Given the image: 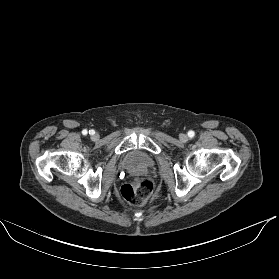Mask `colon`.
<instances>
[{
    "instance_id": "5ec220e1",
    "label": "colon",
    "mask_w": 279,
    "mask_h": 279,
    "mask_svg": "<svg viewBox=\"0 0 279 279\" xmlns=\"http://www.w3.org/2000/svg\"><path fill=\"white\" fill-rule=\"evenodd\" d=\"M154 189V183L148 178L135 179L124 184L119 191L122 199L133 206H142L150 198Z\"/></svg>"
}]
</instances>
